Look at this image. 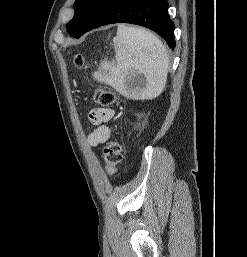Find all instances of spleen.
<instances>
[{
	"instance_id": "1",
	"label": "spleen",
	"mask_w": 247,
	"mask_h": 257,
	"mask_svg": "<svg viewBox=\"0 0 247 257\" xmlns=\"http://www.w3.org/2000/svg\"><path fill=\"white\" fill-rule=\"evenodd\" d=\"M113 43L116 64L104 62L94 77L127 97L159 96L166 85L169 66L167 49L161 40L146 29L119 25ZM135 74H142L145 84L139 92L131 93L126 83Z\"/></svg>"
}]
</instances>
